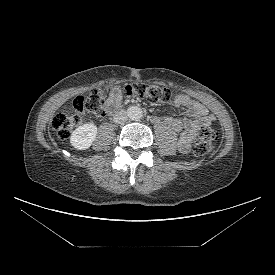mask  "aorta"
I'll return each mask as SVG.
<instances>
[{
	"mask_svg": "<svg viewBox=\"0 0 275 275\" xmlns=\"http://www.w3.org/2000/svg\"><path fill=\"white\" fill-rule=\"evenodd\" d=\"M127 114L131 120H135V121L140 120L143 116L142 109L139 106H135V105L130 106L127 109Z\"/></svg>",
	"mask_w": 275,
	"mask_h": 275,
	"instance_id": "1",
	"label": "aorta"
}]
</instances>
